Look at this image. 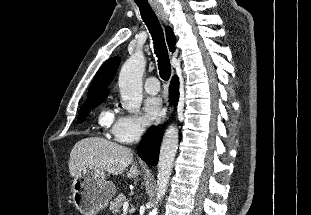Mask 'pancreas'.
Returning a JSON list of instances; mask_svg holds the SVG:
<instances>
[{"mask_svg": "<svg viewBox=\"0 0 311 215\" xmlns=\"http://www.w3.org/2000/svg\"><path fill=\"white\" fill-rule=\"evenodd\" d=\"M126 202L125 196L121 193L116 198H114L110 202V211L113 214H117L120 212V208L123 206V204Z\"/></svg>", "mask_w": 311, "mask_h": 215, "instance_id": "1", "label": "pancreas"}]
</instances>
